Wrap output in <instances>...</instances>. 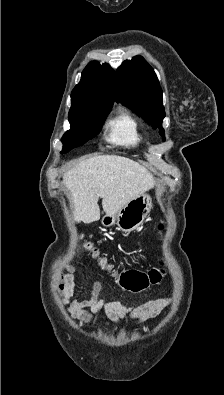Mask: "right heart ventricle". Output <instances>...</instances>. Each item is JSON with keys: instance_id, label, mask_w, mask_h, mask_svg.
I'll return each mask as SVG.
<instances>
[{"instance_id": "obj_1", "label": "right heart ventricle", "mask_w": 224, "mask_h": 395, "mask_svg": "<svg viewBox=\"0 0 224 395\" xmlns=\"http://www.w3.org/2000/svg\"><path fill=\"white\" fill-rule=\"evenodd\" d=\"M107 140L113 144L134 148L141 144L142 133L136 118L126 110H120L108 122Z\"/></svg>"}]
</instances>
